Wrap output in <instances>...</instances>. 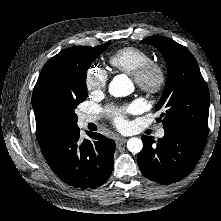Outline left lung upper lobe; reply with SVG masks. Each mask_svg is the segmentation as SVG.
<instances>
[{
  "instance_id": "1",
  "label": "left lung upper lobe",
  "mask_w": 221,
  "mask_h": 221,
  "mask_svg": "<svg viewBox=\"0 0 221 221\" xmlns=\"http://www.w3.org/2000/svg\"><path fill=\"white\" fill-rule=\"evenodd\" d=\"M141 43L155 46L167 63L166 85L156 105V110L163 113L157 121L165 130H185L207 137L210 96L194 56L163 36H150Z\"/></svg>"
}]
</instances>
